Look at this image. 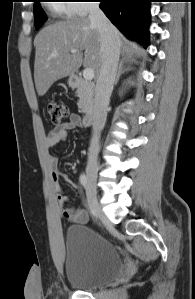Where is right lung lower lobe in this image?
<instances>
[{
    "label": "right lung lower lobe",
    "instance_id": "right-lung-lower-lobe-1",
    "mask_svg": "<svg viewBox=\"0 0 195 299\" xmlns=\"http://www.w3.org/2000/svg\"><path fill=\"white\" fill-rule=\"evenodd\" d=\"M151 0H100V8L129 39L149 45L148 24Z\"/></svg>",
    "mask_w": 195,
    "mask_h": 299
}]
</instances>
